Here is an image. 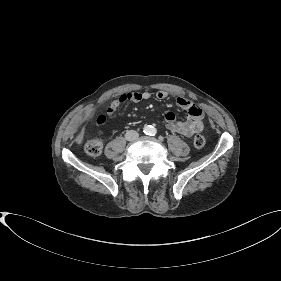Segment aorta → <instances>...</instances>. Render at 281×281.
Wrapping results in <instances>:
<instances>
[{"instance_id": "aorta-1", "label": "aorta", "mask_w": 281, "mask_h": 281, "mask_svg": "<svg viewBox=\"0 0 281 281\" xmlns=\"http://www.w3.org/2000/svg\"><path fill=\"white\" fill-rule=\"evenodd\" d=\"M145 133L151 134L153 132V127L152 126H147L144 130Z\"/></svg>"}]
</instances>
